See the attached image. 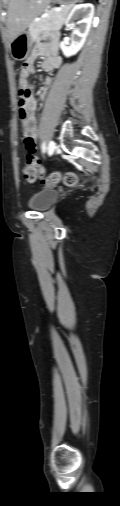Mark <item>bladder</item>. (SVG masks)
Here are the masks:
<instances>
[{
  "instance_id": "31cf9c89",
  "label": "bladder",
  "mask_w": 120,
  "mask_h": 506,
  "mask_svg": "<svg viewBox=\"0 0 120 506\" xmlns=\"http://www.w3.org/2000/svg\"><path fill=\"white\" fill-rule=\"evenodd\" d=\"M58 198V191L45 188L34 193L28 200V206L37 211L47 210Z\"/></svg>"
}]
</instances>
